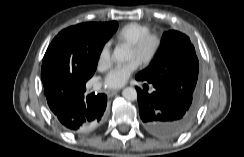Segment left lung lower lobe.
Masks as SVG:
<instances>
[{"label":"left lung lower lobe","mask_w":244,"mask_h":157,"mask_svg":"<svg viewBox=\"0 0 244 157\" xmlns=\"http://www.w3.org/2000/svg\"><path fill=\"white\" fill-rule=\"evenodd\" d=\"M137 80L146 81L136 77ZM148 82V81H147ZM154 87L148 93V85L144 89L136 87L138 93L139 114L144 127L160 138H174L182 134L192 123L196 110L186 101L163 89L157 82H148Z\"/></svg>","instance_id":"0a47b994"}]
</instances>
